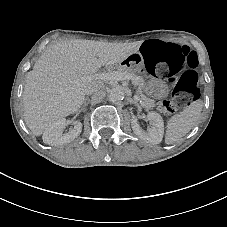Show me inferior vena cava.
<instances>
[{
    "instance_id": "1",
    "label": "inferior vena cava",
    "mask_w": 227,
    "mask_h": 227,
    "mask_svg": "<svg viewBox=\"0 0 227 227\" xmlns=\"http://www.w3.org/2000/svg\"><path fill=\"white\" fill-rule=\"evenodd\" d=\"M100 89L101 88L98 86L97 83H93L86 89V94L87 95L94 94L92 98L93 101L101 100L104 95V92L100 91Z\"/></svg>"
}]
</instances>
